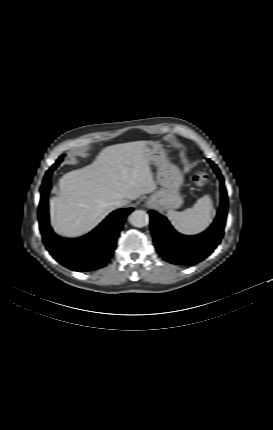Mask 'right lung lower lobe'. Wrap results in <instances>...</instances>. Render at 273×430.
I'll return each mask as SVG.
<instances>
[{"label":"right lung lower lobe","mask_w":273,"mask_h":430,"mask_svg":"<svg viewBox=\"0 0 273 430\" xmlns=\"http://www.w3.org/2000/svg\"><path fill=\"white\" fill-rule=\"evenodd\" d=\"M55 168L53 165L47 171L41 187L39 224L45 246L54 259L71 270L87 272L102 268L112 257L119 232L133 208L114 211L96 229L81 238L56 236L50 228L47 211L50 175Z\"/></svg>","instance_id":"obj_1"}]
</instances>
